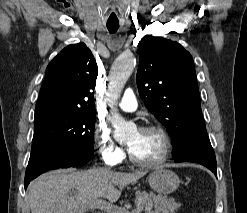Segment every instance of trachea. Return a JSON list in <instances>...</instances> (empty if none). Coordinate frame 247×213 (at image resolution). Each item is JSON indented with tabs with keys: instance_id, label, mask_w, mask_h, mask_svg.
Returning <instances> with one entry per match:
<instances>
[{
	"instance_id": "trachea-1",
	"label": "trachea",
	"mask_w": 247,
	"mask_h": 213,
	"mask_svg": "<svg viewBox=\"0 0 247 213\" xmlns=\"http://www.w3.org/2000/svg\"><path fill=\"white\" fill-rule=\"evenodd\" d=\"M119 28V24H107V29L110 33H115Z\"/></svg>"
}]
</instances>
